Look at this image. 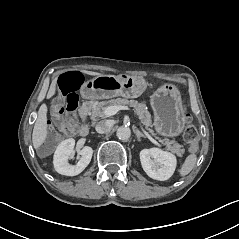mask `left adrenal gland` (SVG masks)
Here are the masks:
<instances>
[{
    "label": "left adrenal gland",
    "instance_id": "1",
    "mask_svg": "<svg viewBox=\"0 0 239 239\" xmlns=\"http://www.w3.org/2000/svg\"><path fill=\"white\" fill-rule=\"evenodd\" d=\"M134 133L136 134L138 141H140L141 137L146 138V136L142 132H140L138 129L134 130Z\"/></svg>",
    "mask_w": 239,
    "mask_h": 239
}]
</instances>
